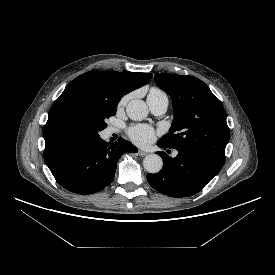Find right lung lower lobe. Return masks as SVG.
Instances as JSON below:
<instances>
[{
  "label": "right lung lower lobe",
  "mask_w": 275,
  "mask_h": 275,
  "mask_svg": "<svg viewBox=\"0 0 275 275\" xmlns=\"http://www.w3.org/2000/svg\"><path fill=\"white\" fill-rule=\"evenodd\" d=\"M137 148L120 138L112 145L96 137H54L45 141L44 160L56 181L77 194H93L109 186L123 153Z\"/></svg>",
  "instance_id": "obj_1"
}]
</instances>
